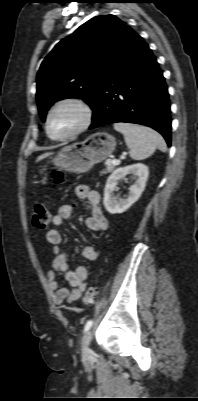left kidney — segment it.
<instances>
[{
	"mask_svg": "<svg viewBox=\"0 0 198 401\" xmlns=\"http://www.w3.org/2000/svg\"><path fill=\"white\" fill-rule=\"evenodd\" d=\"M127 174L135 178V183L129 188L127 199H118L114 195L117 182ZM148 167L142 163L117 168L107 179L104 189L103 204L110 214H120L130 208L141 196L148 179Z\"/></svg>",
	"mask_w": 198,
	"mask_h": 401,
	"instance_id": "obj_1",
	"label": "left kidney"
}]
</instances>
